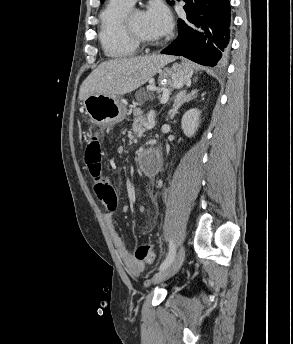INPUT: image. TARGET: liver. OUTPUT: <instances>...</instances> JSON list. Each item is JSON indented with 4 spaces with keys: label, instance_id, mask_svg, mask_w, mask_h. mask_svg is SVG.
Instances as JSON below:
<instances>
[{
    "label": "liver",
    "instance_id": "1",
    "mask_svg": "<svg viewBox=\"0 0 293 344\" xmlns=\"http://www.w3.org/2000/svg\"><path fill=\"white\" fill-rule=\"evenodd\" d=\"M173 60L168 55L153 54L102 62L82 83L79 99L95 94L119 96L131 93Z\"/></svg>",
    "mask_w": 293,
    "mask_h": 344
}]
</instances>
